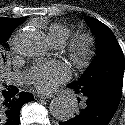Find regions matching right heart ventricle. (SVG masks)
Returning a JSON list of instances; mask_svg holds the SVG:
<instances>
[{"mask_svg": "<svg viewBox=\"0 0 125 125\" xmlns=\"http://www.w3.org/2000/svg\"><path fill=\"white\" fill-rule=\"evenodd\" d=\"M72 33V28L61 24L53 23L48 27V38L54 44H64Z\"/></svg>", "mask_w": 125, "mask_h": 125, "instance_id": "1", "label": "right heart ventricle"}]
</instances>
